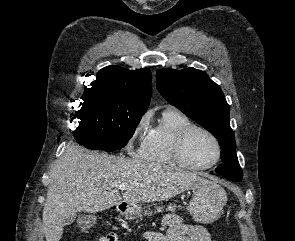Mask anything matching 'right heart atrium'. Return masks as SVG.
<instances>
[{
    "mask_svg": "<svg viewBox=\"0 0 295 241\" xmlns=\"http://www.w3.org/2000/svg\"><path fill=\"white\" fill-rule=\"evenodd\" d=\"M150 111L143 113L135 122L127 142L128 151L132 152L139 142H144L150 131Z\"/></svg>",
    "mask_w": 295,
    "mask_h": 241,
    "instance_id": "1",
    "label": "right heart atrium"
}]
</instances>
